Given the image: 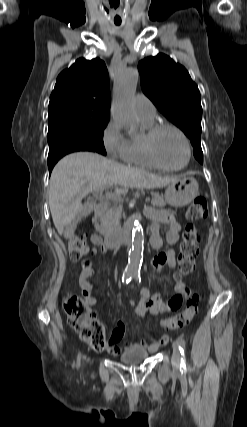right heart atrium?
Wrapping results in <instances>:
<instances>
[{"label":"right heart atrium","instance_id":"1","mask_svg":"<svg viewBox=\"0 0 247 427\" xmlns=\"http://www.w3.org/2000/svg\"><path fill=\"white\" fill-rule=\"evenodd\" d=\"M102 143L110 156L121 161H126L128 139L115 121L110 120L104 127Z\"/></svg>","mask_w":247,"mask_h":427}]
</instances>
